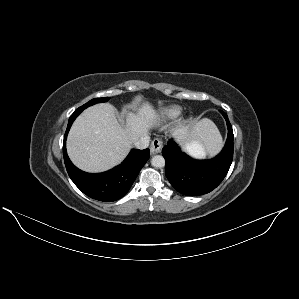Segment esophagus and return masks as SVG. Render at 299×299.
I'll use <instances>...</instances> for the list:
<instances>
[{
    "label": "esophagus",
    "instance_id": "34e87169",
    "mask_svg": "<svg viewBox=\"0 0 299 299\" xmlns=\"http://www.w3.org/2000/svg\"><path fill=\"white\" fill-rule=\"evenodd\" d=\"M162 149V141L158 138H155L150 145V152L152 154H157L161 151Z\"/></svg>",
    "mask_w": 299,
    "mask_h": 299
}]
</instances>
